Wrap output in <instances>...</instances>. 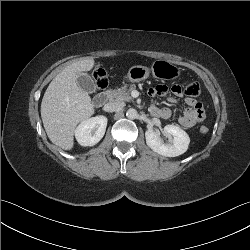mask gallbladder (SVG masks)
I'll return each mask as SVG.
<instances>
[{
  "label": "gallbladder",
  "instance_id": "bac80fb5",
  "mask_svg": "<svg viewBox=\"0 0 250 250\" xmlns=\"http://www.w3.org/2000/svg\"><path fill=\"white\" fill-rule=\"evenodd\" d=\"M77 83L87 93H93L96 91V85L93 79L86 73L78 75Z\"/></svg>",
  "mask_w": 250,
  "mask_h": 250
}]
</instances>
